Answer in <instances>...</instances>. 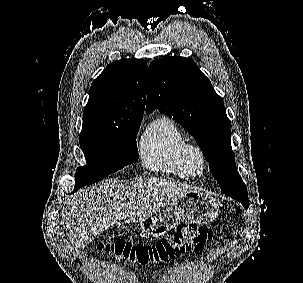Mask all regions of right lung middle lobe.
Segmentation results:
<instances>
[{"label": "right lung middle lobe", "instance_id": "right-lung-middle-lobe-1", "mask_svg": "<svg viewBox=\"0 0 303 283\" xmlns=\"http://www.w3.org/2000/svg\"><path fill=\"white\" fill-rule=\"evenodd\" d=\"M140 124L133 121L120 126L82 127L80 147L87 164L77 168L73 192L138 160L136 137Z\"/></svg>", "mask_w": 303, "mask_h": 283}]
</instances>
